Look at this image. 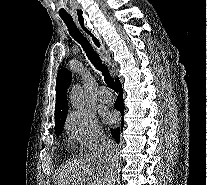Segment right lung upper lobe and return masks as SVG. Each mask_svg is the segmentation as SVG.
Wrapping results in <instances>:
<instances>
[{
    "label": "right lung upper lobe",
    "mask_w": 207,
    "mask_h": 185,
    "mask_svg": "<svg viewBox=\"0 0 207 185\" xmlns=\"http://www.w3.org/2000/svg\"><path fill=\"white\" fill-rule=\"evenodd\" d=\"M71 73L62 68L57 74L56 81V109H55V129L64 126V121L68 112L67 89L71 84Z\"/></svg>",
    "instance_id": "obj_1"
}]
</instances>
